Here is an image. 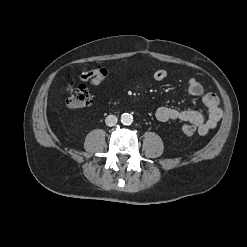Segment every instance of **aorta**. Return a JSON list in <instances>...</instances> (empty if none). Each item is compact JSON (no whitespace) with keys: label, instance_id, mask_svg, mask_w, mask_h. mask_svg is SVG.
Here are the masks:
<instances>
[{"label":"aorta","instance_id":"aorta-1","mask_svg":"<svg viewBox=\"0 0 247 247\" xmlns=\"http://www.w3.org/2000/svg\"><path fill=\"white\" fill-rule=\"evenodd\" d=\"M121 122L124 125H130L133 122V116L129 113H124L121 115Z\"/></svg>","mask_w":247,"mask_h":247}]
</instances>
